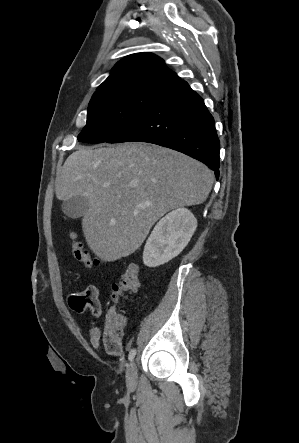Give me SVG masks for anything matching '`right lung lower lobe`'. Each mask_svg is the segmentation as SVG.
<instances>
[{"instance_id":"obj_1","label":"right lung lower lobe","mask_w":299,"mask_h":443,"mask_svg":"<svg viewBox=\"0 0 299 443\" xmlns=\"http://www.w3.org/2000/svg\"><path fill=\"white\" fill-rule=\"evenodd\" d=\"M148 142L185 153L219 177V139L203 99L186 81L166 91L130 126L107 143Z\"/></svg>"}]
</instances>
